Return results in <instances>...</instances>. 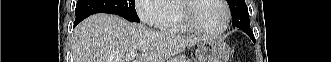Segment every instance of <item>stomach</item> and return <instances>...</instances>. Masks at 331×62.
Masks as SVG:
<instances>
[{
  "instance_id": "0dacf381",
  "label": "stomach",
  "mask_w": 331,
  "mask_h": 62,
  "mask_svg": "<svg viewBox=\"0 0 331 62\" xmlns=\"http://www.w3.org/2000/svg\"><path fill=\"white\" fill-rule=\"evenodd\" d=\"M231 53L228 44L221 40L208 39L198 45L196 58L198 62H228Z\"/></svg>"
}]
</instances>
